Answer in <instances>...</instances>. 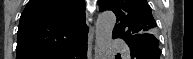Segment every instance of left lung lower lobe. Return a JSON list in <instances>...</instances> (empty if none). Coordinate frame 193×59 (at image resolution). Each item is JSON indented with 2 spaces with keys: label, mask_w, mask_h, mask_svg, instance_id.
<instances>
[{
  "label": "left lung lower lobe",
  "mask_w": 193,
  "mask_h": 59,
  "mask_svg": "<svg viewBox=\"0 0 193 59\" xmlns=\"http://www.w3.org/2000/svg\"><path fill=\"white\" fill-rule=\"evenodd\" d=\"M114 38H120L113 35ZM125 42L131 50V59H159L161 51L158 47V40L153 39H139L131 37ZM117 57V56H116Z\"/></svg>",
  "instance_id": "obj_1"
}]
</instances>
